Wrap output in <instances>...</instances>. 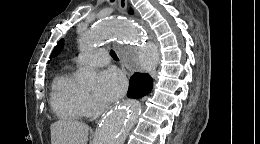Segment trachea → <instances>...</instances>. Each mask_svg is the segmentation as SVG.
<instances>
[{
  "mask_svg": "<svg viewBox=\"0 0 260 144\" xmlns=\"http://www.w3.org/2000/svg\"><path fill=\"white\" fill-rule=\"evenodd\" d=\"M110 55H111V57H112L114 60L118 61V57H117L116 53H115L113 50L110 51Z\"/></svg>",
  "mask_w": 260,
  "mask_h": 144,
  "instance_id": "3493384b",
  "label": "trachea"
}]
</instances>
